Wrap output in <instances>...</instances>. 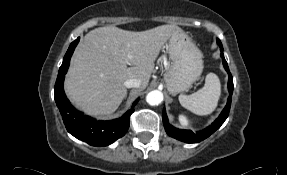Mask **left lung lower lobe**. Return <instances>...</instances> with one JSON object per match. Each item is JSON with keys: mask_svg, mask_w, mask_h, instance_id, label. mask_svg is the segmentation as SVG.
<instances>
[{"mask_svg": "<svg viewBox=\"0 0 287 175\" xmlns=\"http://www.w3.org/2000/svg\"><path fill=\"white\" fill-rule=\"evenodd\" d=\"M217 44L219 45L221 51H223L222 44L219 40H217ZM221 57L223 59L224 68L228 72V75H229V79H228L229 97H228V101H227L225 108L223 109V111L221 112L219 117L210 126H208L206 129H204L202 131H198L196 133H194L190 130L177 129V128L171 126L168 123V118H167V115H166V112L164 109V111H163V124H164V128H165V130L169 136L176 138L180 141L186 142V143H197V142H200V141L206 139L207 137H209L227 119L229 111H230V106H231V96L233 93V78H232V75L229 71V67H228L227 62L224 58L223 53H221Z\"/></svg>", "mask_w": 287, "mask_h": 175, "instance_id": "left-lung-lower-lobe-1", "label": "left lung lower lobe"}]
</instances>
